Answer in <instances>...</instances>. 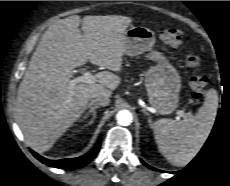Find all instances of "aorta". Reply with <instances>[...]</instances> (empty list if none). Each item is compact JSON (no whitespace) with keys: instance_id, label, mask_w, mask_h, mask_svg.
I'll return each instance as SVG.
<instances>
[{"instance_id":"762f6f07","label":"aorta","mask_w":230,"mask_h":186,"mask_svg":"<svg viewBox=\"0 0 230 186\" xmlns=\"http://www.w3.org/2000/svg\"><path fill=\"white\" fill-rule=\"evenodd\" d=\"M116 120L120 125L127 126L133 121L132 113L129 110H120L116 114Z\"/></svg>"}]
</instances>
